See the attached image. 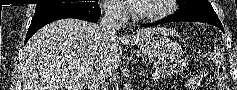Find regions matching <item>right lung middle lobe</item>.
Returning <instances> with one entry per match:
<instances>
[{
	"mask_svg": "<svg viewBox=\"0 0 237 90\" xmlns=\"http://www.w3.org/2000/svg\"><path fill=\"white\" fill-rule=\"evenodd\" d=\"M98 4V2H89V3H60V4H37L35 9V15L43 14L46 12L54 11L64 7H72V6H93Z\"/></svg>",
	"mask_w": 237,
	"mask_h": 90,
	"instance_id": "obj_1",
	"label": "right lung middle lobe"
}]
</instances>
